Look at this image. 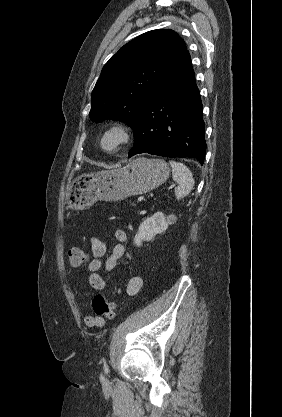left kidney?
Returning a JSON list of instances; mask_svg holds the SVG:
<instances>
[{
    "mask_svg": "<svg viewBox=\"0 0 282 417\" xmlns=\"http://www.w3.org/2000/svg\"><path fill=\"white\" fill-rule=\"evenodd\" d=\"M177 223V217L175 215H164V213H154L152 217H148L145 219L143 223H141L138 233H136L134 237V245L135 247H141L143 245V241H152L156 235H161V233H165L166 229H168L169 225H174Z\"/></svg>",
    "mask_w": 282,
    "mask_h": 417,
    "instance_id": "1",
    "label": "left kidney"
}]
</instances>
